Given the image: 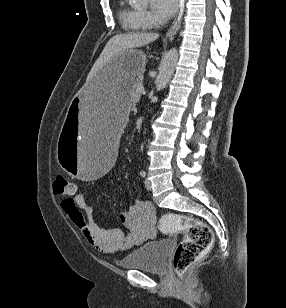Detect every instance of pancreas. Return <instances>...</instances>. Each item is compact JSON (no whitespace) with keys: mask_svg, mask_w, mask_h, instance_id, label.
Here are the masks:
<instances>
[{"mask_svg":"<svg viewBox=\"0 0 286 308\" xmlns=\"http://www.w3.org/2000/svg\"><path fill=\"white\" fill-rule=\"evenodd\" d=\"M142 88H143L142 79H139V81H137V83L133 87L131 97L135 100H138L142 94L141 93Z\"/></svg>","mask_w":286,"mask_h":308,"instance_id":"pancreas-1","label":"pancreas"}]
</instances>
